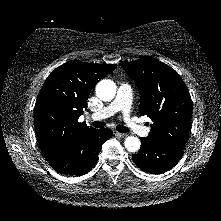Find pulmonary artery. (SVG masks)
I'll use <instances>...</instances> for the list:
<instances>
[{"instance_id": "obj_1", "label": "pulmonary artery", "mask_w": 221, "mask_h": 221, "mask_svg": "<svg viewBox=\"0 0 221 221\" xmlns=\"http://www.w3.org/2000/svg\"><path fill=\"white\" fill-rule=\"evenodd\" d=\"M132 103V90L128 84H121L118 88L115 99L102 110L94 113L91 118L93 120H101L122 112L127 127L139 136H148L150 128L139 124L130 116Z\"/></svg>"}]
</instances>
